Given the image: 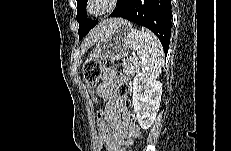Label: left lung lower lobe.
<instances>
[{
    "instance_id": "obj_1",
    "label": "left lung lower lobe",
    "mask_w": 231,
    "mask_h": 151,
    "mask_svg": "<svg viewBox=\"0 0 231 151\" xmlns=\"http://www.w3.org/2000/svg\"><path fill=\"white\" fill-rule=\"evenodd\" d=\"M171 9L170 0H131L128 5H118L111 17H121L151 30L166 54L171 36Z\"/></svg>"
}]
</instances>
